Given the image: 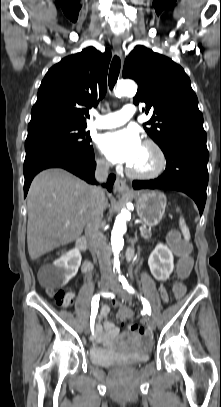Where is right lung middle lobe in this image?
I'll list each match as a JSON object with an SVG mask.
<instances>
[{
  "label": "right lung middle lobe",
  "mask_w": 221,
  "mask_h": 407,
  "mask_svg": "<svg viewBox=\"0 0 221 407\" xmlns=\"http://www.w3.org/2000/svg\"><path fill=\"white\" fill-rule=\"evenodd\" d=\"M86 125L48 124L28 128L25 150L37 143H55L74 150L82 156L94 153L91 137L85 132Z\"/></svg>",
  "instance_id": "right-lung-middle-lobe-1"
}]
</instances>
